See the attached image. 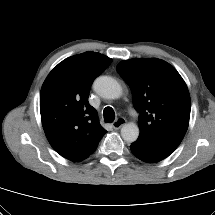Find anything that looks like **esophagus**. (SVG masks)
<instances>
[{
    "instance_id": "34e87169",
    "label": "esophagus",
    "mask_w": 215,
    "mask_h": 215,
    "mask_svg": "<svg viewBox=\"0 0 215 215\" xmlns=\"http://www.w3.org/2000/svg\"><path fill=\"white\" fill-rule=\"evenodd\" d=\"M126 124V119L123 117H119L115 122H113L112 127L114 129H119Z\"/></svg>"
}]
</instances>
